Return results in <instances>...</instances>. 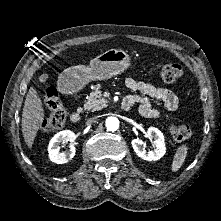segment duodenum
<instances>
[{
  "instance_id": "410a0bca",
  "label": "duodenum",
  "mask_w": 221,
  "mask_h": 221,
  "mask_svg": "<svg viewBox=\"0 0 221 221\" xmlns=\"http://www.w3.org/2000/svg\"><path fill=\"white\" fill-rule=\"evenodd\" d=\"M61 90H62V92H64L67 95H71V93H72V89L67 87V86H64V85L61 87ZM122 109L127 111V110L130 109V106L128 104H122ZM82 113H83V111H82L81 108L76 109L71 114V117H70L71 121L72 122H78L81 119Z\"/></svg>"
}]
</instances>
